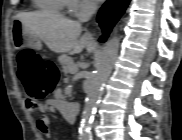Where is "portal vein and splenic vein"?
I'll return each instance as SVG.
<instances>
[{"label": "portal vein and splenic vein", "instance_id": "portal-vein-and-splenic-vein-1", "mask_svg": "<svg viewBox=\"0 0 182 140\" xmlns=\"http://www.w3.org/2000/svg\"><path fill=\"white\" fill-rule=\"evenodd\" d=\"M78 71V69L77 68H74L73 70H72V73H76Z\"/></svg>", "mask_w": 182, "mask_h": 140}]
</instances>
